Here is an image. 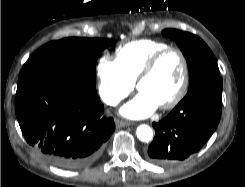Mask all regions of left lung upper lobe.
Segmentation results:
<instances>
[{"mask_svg":"<svg viewBox=\"0 0 245 187\" xmlns=\"http://www.w3.org/2000/svg\"><path fill=\"white\" fill-rule=\"evenodd\" d=\"M163 34L177 43L186 58L189 68V90L206 81L220 78L213 53L198 36L176 29H166Z\"/></svg>","mask_w":245,"mask_h":187,"instance_id":"left-lung-upper-lobe-1","label":"left lung upper lobe"}]
</instances>
